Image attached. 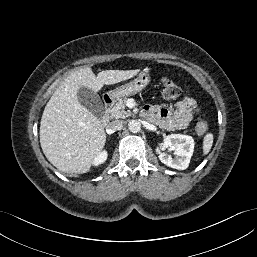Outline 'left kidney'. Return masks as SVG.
<instances>
[{"mask_svg":"<svg viewBox=\"0 0 257 257\" xmlns=\"http://www.w3.org/2000/svg\"><path fill=\"white\" fill-rule=\"evenodd\" d=\"M194 145V140L191 136L171 134L163 140L162 146L172 149L175 157L161 152L159 148H156V152L159 154L160 161L165 165L174 169L185 170L189 166L193 155Z\"/></svg>","mask_w":257,"mask_h":257,"instance_id":"1","label":"left kidney"}]
</instances>
